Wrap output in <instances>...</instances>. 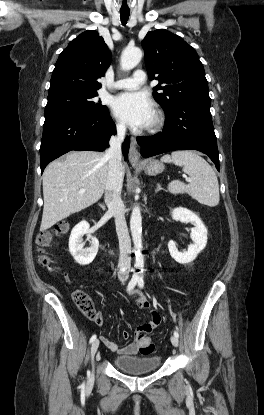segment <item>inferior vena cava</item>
Here are the masks:
<instances>
[{
    "label": "inferior vena cava",
    "instance_id": "1",
    "mask_svg": "<svg viewBox=\"0 0 264 415\" xmlns=\"http://www.w3.org/2000/svg\"><path fill=\"white\" fill-rule=\"evenodd\" d=\"M124 124L117 125V136H112L110 147L105 153L108 159L109 171L105 188V202L108 210L115 218L116 232L119 240L118 275L128 276L131 266V240L124 215V204L121 200L124 172L122 168L121 143L125 137Z\"/></svg>",
    "mask_w": 264,
    "mask_h": 415
}]
</instances>
